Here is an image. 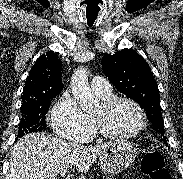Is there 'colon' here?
<instances>
[{
    "label": "colon",
    "mask_w": 183,
    "mask_h": 179,
    "mask_svg": "<svg viewBox=\"0 0 183 179\" xmlns=\"http://www.w3.org/2000/svg\"><path fill=\"white\" fill-rule=\"evenodd\" d=\"M141 166L143 172L150 179H172L171 174L165 166L164 157L157 149H146Z\"/></svg>",
    "instance_id": "1"
}]
</instances>
